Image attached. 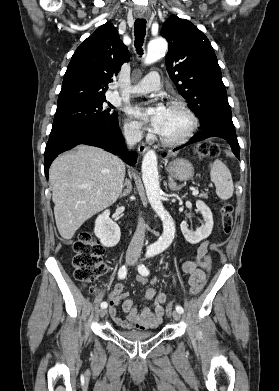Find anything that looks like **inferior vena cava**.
I'll use <instances>...</instances> for the list:
<instances>
[{"mask_svg": "<svg viewBox=\"0 0 279 391\" xmlns=\"http://www.w3.org/2000/svg\"><path fill=\"white\" fill-rule=\"evenodd\" d=\"M124 136L127 145L131 148L141 140L142 132L138 127L133 126L125 129ZM145 229L144 220L140 217L136 232L129 244L127 254L140 255L145 238Z\"/></svg>", "mask_w": 279, "mask_h": 391, "instance_id": "602c4592", "label": "inferior vena cava"}]
</instances>
